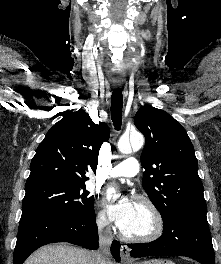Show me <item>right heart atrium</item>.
Here are the masks:
<instances>
[{
  "label": "right heart atrium",
  "instance_id": "right-heart-atrium-1",
  "mask_svg": "<svg viewBox=\"0 0 221 264\" xmlns=\"http://www.w3.org/2000/svg\"><path fill=\"white\" fill-rule=\"evenodd\" d=\"M96 225L100 230L109 229V221L106 217V214L103 211H98L96 214Z\"/></svg>",
  "mask_w": 221,
  "mask_h": 264
}]
</instances>
